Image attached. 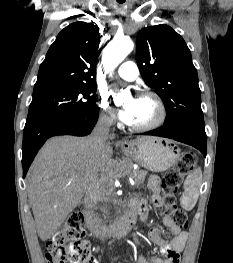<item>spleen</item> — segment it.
Masks as SVG:
<instances>
[{"mask_svg":"<svg viewBox=\"0 0 233 263\" xmlns=\"http://www.w3.org/2000/svg\"><path fill=\"white\" fill-rule=\"evenodd\" d=\"M201 183L202 171L200 168H197L187 176L184 182V192L180 198V204L183 209L190 211L194 208L199 197Z\"/></svg>","mask_w":233,"mask_h":263,"instance_id":"1","label":"spleen"}]
</instances>
